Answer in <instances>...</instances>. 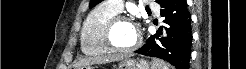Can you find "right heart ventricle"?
I'll list each match as a JSON object with an SVG mask.
<instances>
[{
    "label": "right heart ventricle",
    "mask_w": 246,
    "mask_h": 69,
    "mask_svg": "<svg viewBox=\"0 0 246 69\" xmlns=\"http://www.w3.org/2000/svg\"><path fill=\"white\" fill-rule=\"evenodd\" d=\"M117 14L107 3L93 9L87 16L81 34V49L86 55H106L110 53L104 40L108 21Z\"/></svg>",
    "instance_id": "1"
}]
</instances>
